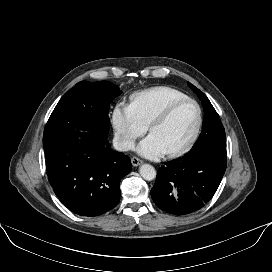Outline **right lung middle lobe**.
I'll return each instance as SVG.
<instances>
[{
  "label": "right lung middle lobe",
  "instance_id": "1",
  "mask_svg": "<svg viewBox=\"0 0 272 272\" xmlns=\"http://www.w3.org/2000/svg\"><path fill=\"white\" fill-rule=\"evenodd\" d=\"M121 93L118 86L108 81L77 83L53 110L44 129L43 147L79 130L107 137L109 105Z\"/></svg>",
  "mask_w": 272,
  "mask_h": 272
}]
</instances>
